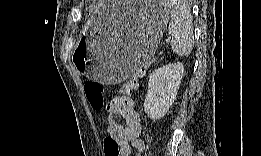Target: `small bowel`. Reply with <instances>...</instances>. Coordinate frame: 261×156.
<instances>
[{
    "label": "small bowel",
    "mask_w": 261,
    "mask_h": 156,
    "mask_svg": "<svg viewBox=\"0 0 261 156\" xmlns=\"http://www.w3.org/2000/svg\"><path fill=\"white\" fill-rule=\"evenodd\" d=\"M107 113L108 136L118 141L122 156H129L132 148L141 153L144 149V144L140 140L142 124L139 114L135 111L133 100L126 96L116 97L108 102ZM117 118H123L125 124L119 123Z\"/></svg>",
    "instance_id": "c3829d8e"
}]
</instances>
